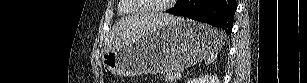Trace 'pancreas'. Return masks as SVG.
<instances>
[{"label":"pancreas","mask_w":307,"mask_h":83,"mask_svg":"<svg viewBox=\"0 0 307 83\" xmlns=\"http://www.w3.org/2000/svg\"><path fill=\"white\" fill-rule=\"evenodd\" d=\"M165 80L167 83H174L176 80L175 74L173 72L167 73Z\"/></svg>","instance_id":"pancreas-1"}]
</instances>
